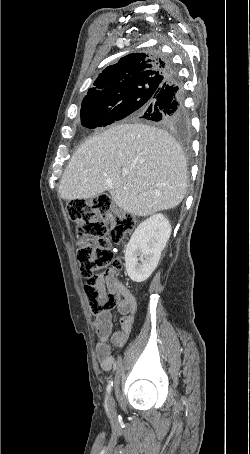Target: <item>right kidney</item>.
<instances>
[{
	"label": "right kidney",
	"mask_w": 250,
	"mask_h": 454,
	"mask_svg": "<svg viewBox=\"0 0 250 454\" xmlns=\"http://www.w3.org/2000/svg\"><path fill=\"white\" fill-rule=\"evenodd\" d=\"M170 234L171 224L163 214H155L139 224L125 250V267L132 281L140 283L149 278Z\"/></svg>",
	"instance_id": "right-kidney-1"
}]
</instances>
